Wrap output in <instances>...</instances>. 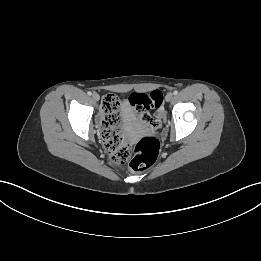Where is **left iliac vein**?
I'll use <instances>...</instances> for the list:
<instances>
[{
  "mask_svg": "<svg viewBox=\"0 0 261 261\" xmlns=\"http://www.w3.org/2000/svg\"><path fill=\"white\" fill-rule=\"evenodd\" d=\"M173 99V94L172 93H167L166 97H165V100L167 102H170L171 100Z\"/></svg>",
  "mask_w": 261,
  "mask_h": 261,
  "instance_id": "obj_1",
  "label": "left iliac vein"
}]
</instances>
